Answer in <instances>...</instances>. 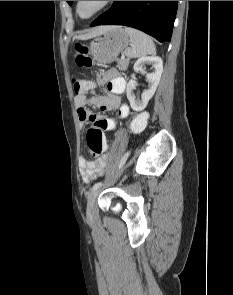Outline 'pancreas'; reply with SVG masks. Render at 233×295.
<instances>
[{"label":"pancreas","instance_id":"cf45deb5","mask_svg":"<svg viewBox=\"0 0 233 295\" xmlns=\"http://www.w3.org/2000/svg\"><path fill=\"white\" fill-rule=\"evenodd\" d=\"M129 65V59H121L118 61L117 63V67L120 69V70H126L127 67Z\"/></svg>","mask_w":233,"mask_h":295}]
</instances>
